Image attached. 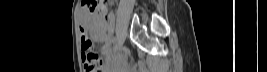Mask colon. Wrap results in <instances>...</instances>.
I'll return each instance as SVG.
<instances>
[{"mask_svg": "<svg viewBox=\"0 0 267 72\" xmlns=\"http://www.w3.org/2000/svg\"><path fill=\"white\" fill-rule=\"evenodd\" d=\"M84 4L87 6L88 10L91 13H95L101 15L104 19H107V11H108V1L107 0H86ZM91 43L85 38L82 41L81 49L83 53L84 59V69L86 72H96V68L99 64V56L90 51Z\"/></svg>", "mask_w": 267, "mask_h": 72, "instance_id": "5ec220e1", "label": "colon"}]
</instances>
